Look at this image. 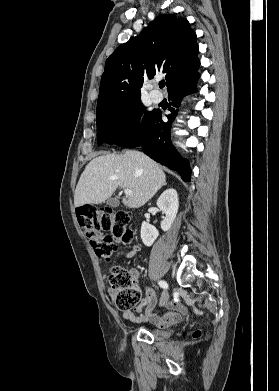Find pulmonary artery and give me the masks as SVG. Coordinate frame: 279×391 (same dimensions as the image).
<instances>
[{"instance_id":"1","label":"pulmonary artery","mask_w":279,"mask_h":391,"mask_svg":"<svg viewBox=\"0 0 279 391\" xmlns=\"http://www.w3.org/2000/svg\"><path fill=\"white\" fill-rule=\"evenodd\" d=\"M149 95H150L151 100L154 103H159L162 101V98H163L162 94L156 90H150Z\"/></svg>"}]
</instances>
